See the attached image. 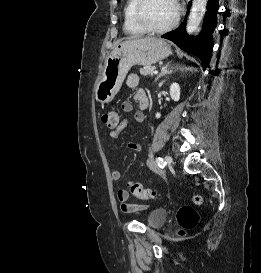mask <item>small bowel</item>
<instances>
[{"label":"small bowel","instance_id":"obj_1","mask_svg":"<svg viewBox=\"0 0 261 273\" xmlns=\"http://www.w3.org/2000/svg\"><path fill=\"white\" fill-rule=\"evenodd\" d=\"M127 85L131 88H136L139 85V78L136 75H129L127 77L126 81ZM134 100L137 102V104L140 106V108H145L148 103L147 96L143 90H137L134 95ZM122 110L124 112H130L132 110V104L129 101H124L121 106ZM134 119L138 124H142L144 121V114L142 110H138L134 114ZM127 126V120H122L116 129L110 131L109 133V139L110 140H116L119 138L120 133L123 131V129ZM128 147L134 151V152H140L142 149V146L140 142L132 140L128 143ZM151 168L154 171H157V168L154 164H151ZM121 172L119 170H113L111 172V178L114 181H118L121 179ZM118 200L120 201L121 205L120 208L124 213H132L139 210H144L146 208L145 205H136V204H130L128 203L129 194L126 190H119L117 192Z\"/></svg>","mask_w":261,"mask_h":273}]
</instances>
